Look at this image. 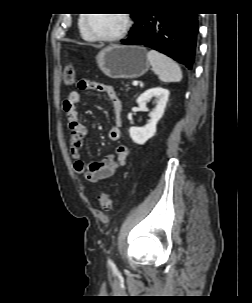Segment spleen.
I'll list each match as a JSON object with an SVG mask.
<instances>
[{"label": "spleen", "instance_id": "3e777b00", "mask_svg": "<svg viewBox=\"0 0 252 303\" xmlns=\"http://www.w3.org/2000/svg\"><path fill=\"white\" fill-rule=\"evenodd\" d=\"M147 58L154 73L162 82H179L182 79V71L179 65L166 55L155 50L147 53Z\"/></svg>", "mask_w": 252, "mask_h": 303}]
</instances>
